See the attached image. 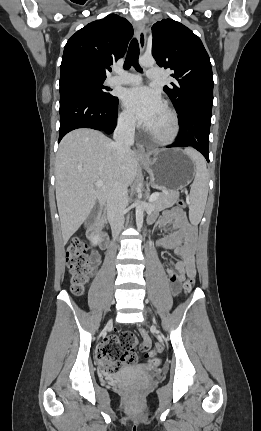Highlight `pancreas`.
Wrapping results in <instances>:
<instances>
[{"mask_svg": "<svg viewBox=\"0 0 261 431\" xmlns=\"http://www.w3.org/2000/svg\"><path fill=\"white\" fill-rule=\"evenodd\" d=\"M179 199V192L177 191H165L159 193L158 198L152 203V207L156 211H161L166 208L172 207Z\"/></svg>", "mask_w": 261, "mask_h": 431, "instance_id": "cf45deb5", "label": "pancreas"}]
</instances>
